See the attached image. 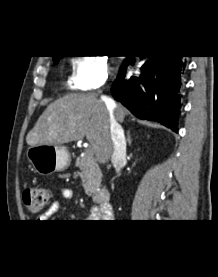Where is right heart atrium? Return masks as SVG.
Segmentation results:
<instances>
[{"mask_svg":"<svg viewBox=\"0 0 218 277\" xmlns=\"http://www.w3.org/2000/svg\"><path fill=\"white\" fill-rule=\"evenodd\" d=\"M108 79V62L104 55L84 54L73 62L69 76V86L78 91L93 90L101 87Z\"/></svg>","mask_w":218,"mask_h":277,"instance_id":"obj_1","label":"right heart atrium"}]
</instances>
